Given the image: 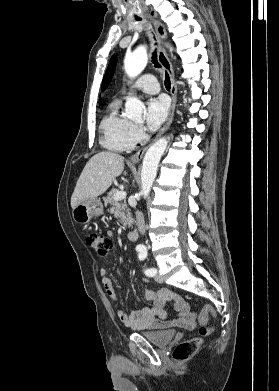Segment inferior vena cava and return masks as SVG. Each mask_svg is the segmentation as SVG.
Wrapping results in <instances>:
<instances>
[{
	"instance_id": "inferior-vena-cava-1",
	"label": "inferior vena cava",
	"mask_w": 279,
	"mask_h": 391,
	"mask_svg": "<svg viewBox=\"0 0 279 391\" xmlns=\"http://www.w3.org/2000/svg\"><path fill=\"white\" fill-rule=\"evenodd\" d=\"M136 222H137V226H138V230L140 232V234H144L145 233V221H144V215L142 212L140 211H136Z\"/></svg>"
}]
</instances>
